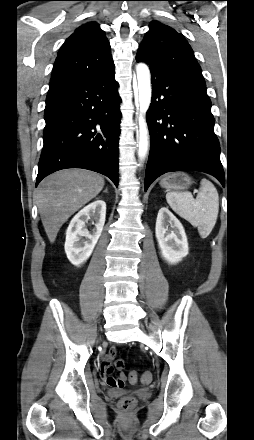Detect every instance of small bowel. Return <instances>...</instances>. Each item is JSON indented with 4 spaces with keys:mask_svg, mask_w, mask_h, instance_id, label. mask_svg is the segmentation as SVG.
Wrapping results in <instances>:
<instances>
[{
    "mask_svg": "<svg viewBox=\"0 0 254 440\" xmlns=\"http://www.w3.org/2000/svg\"><path fill=\"white\" fill-rule=\"evenodd\" d=\"M116 356V350L111 349L108 354L103 358L101 363V369H100V376L105 381V383L108 386L116 387L113 382L116 380V378L112 375V366L111 363L114 360Z\"/></svg>",
    "mask_w": 254,
    "mask_h": 440,
    "instance_id": "1",
    "label": "small bowel"
}]
</instances>
